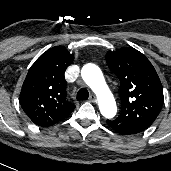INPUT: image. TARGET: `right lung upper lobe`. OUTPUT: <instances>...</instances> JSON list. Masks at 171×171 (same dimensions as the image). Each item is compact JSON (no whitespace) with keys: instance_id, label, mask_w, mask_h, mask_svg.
Returning a JSON list of instances; mask_svg holds the SVG:
<instances>
[{"instance_id":"obj_1","label":"right lung upper lobe","mask_w":171,"mask_h":171,"mask_svg":"<svg viewBox=\"0 0 171 171\" xmlns=\"http://www.w3.org/2000/svg\"><path fill=\"white\" fill-rule=\"evenodd\" d=\"M73 55L62 47L44 52L31 66L20 93V104L38 126H50L66 118L75 105L66 98L64 72Z\"/></svg>"}]
</instances>
